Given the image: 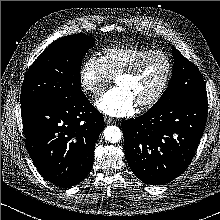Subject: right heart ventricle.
<instances>
[{
  "label": "right heart ventricle",
  "mask_w": 220,
  "mask_h": 220,
  "mask_svg": "<svg viewBox=\"0 0 220 220\" xmlns=\"http://www.w3.org/2000/svg\"><path fill=\"white\" fill-rule=\"evenodd\" d=\"M150 51H153V49L135 45H117L104 48L101 59L107 72L113 77Z\"/></svg>",
  "instance_id": "obj_1"
}]
</instances>
